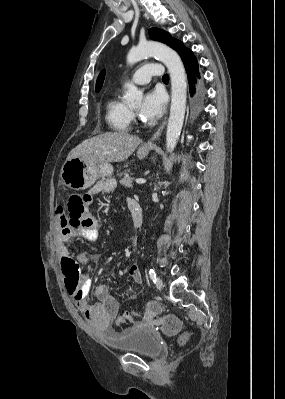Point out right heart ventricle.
<instances>
[{
    "instance_id": "right-heart-ventricle-1",
    "label": "right heart ventricle",
    "mask_w": 285,
    "mask_h": 399,
    "mask_svg": "<svg viewBox=\"0 0 285 399\" xmlns=\"http://www.w3.org/2000/svg\"><path fill=\"white\" fill-rule=\"evenodd\" d=\"M106 122L108 126L117 132L130 130L132 113L130 108L124 104L117 95H111L106 101Z\"/></svg>"
}]
</instances>
